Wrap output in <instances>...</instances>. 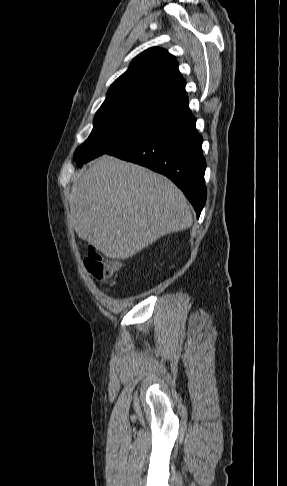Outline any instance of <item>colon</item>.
<instances>
[{"instance_id":"1","label":"colon","mask_w":287,"mask_h":486,"mask_svg":"<svg viewBox=\"0 0 287 486\" xmlns=\"http://www.w3.org/2000/svg\"><path fill=\"white\" fill-rule=\"evenodd\" d=\"M84 264L92 277L98 281L110 279L120 267L119 261L104 257L94 248H90Z\"/></svg>"}]
</instances>
